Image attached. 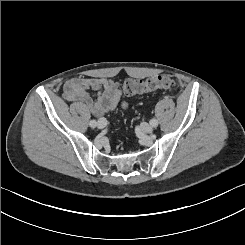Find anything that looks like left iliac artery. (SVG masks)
<instances>
[{"instance_id": "obj_1", "label": "left iliac artery", "mask_w": 245, "mask_h": 245, "mask_svg": "<svg viewBox=\"0 0 245 245\" xmlns=\"http://www.w3.org/2000/svg\"><path fill=\"white\" fill-rule=\"evenodd\" d=\"M150 125L152 127H156V126H158V121L156 119H152V120H150Z\"/></svg>"}]
</instances>
